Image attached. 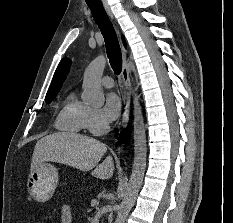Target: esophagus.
Masks as SVG:
<instances>
[{
    "instance_id": "obj_1",
    "label": "esophagus",
    "mask_w": 233,
    "mask_h": 223,
    "mask_svg": "<svg viewBox=\"0 0 233 223\" xmlns=\"http://www.w3.org/2000/svg\"><path fill=\"white\" fill-rule=\"evenodd\" d=\"M103 5L108 15L113 19V14L106 0H103ZM122 59H123V66H122L121 75L124 82V99H123V115H122L121 128L124 129L128 122L132 88L130 81V67L128 64L127 52L123 45H122Z\"/></svg>"
}]
</instances>
